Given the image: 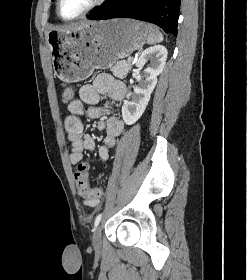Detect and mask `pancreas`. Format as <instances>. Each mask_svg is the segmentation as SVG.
<instances>
[{
  "instance_id": "1",
  "label": "pancreas",
  "mask_w": 247,
  "mask_h": 280,
  "mask_svg": "<svg viewBox=\"0 0 247 280\" xmlns=\"http://www.w3.org/2000/svg\"><path fill=\"white\" fill-rule=\"evenodd\" d=\"M132 68V64L129 61H117L115 65L111 68L114 76L123 79L129 73Z\"/></svg>"
}]
</instances>
